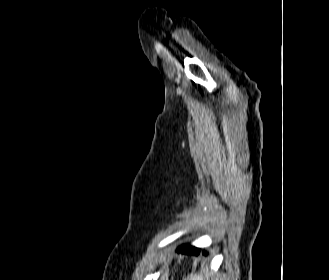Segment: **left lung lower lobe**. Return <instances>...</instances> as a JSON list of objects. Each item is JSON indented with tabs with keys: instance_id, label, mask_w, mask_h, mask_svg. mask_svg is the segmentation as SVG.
I'll use <instances>...</instances> for the list:
<instances>
[{
	"instance_id": "obj_1",
	"label": "left lung lower lobe",
	"mask_w": 329,
	"mask_h": 280,
	"mask_svg": "<svg viewBox=\"0 0 329 280\" xmlns=\"http://www.w3.org/2000/svg\"><path fill=\"white\" fill-rule=\"evenodd\" d=\"M177 252H181V253H184V254L198 255L199 252H200V249L189 246V245H185V246H181L180 248H178ZM203 254H206V253L203 252Z\"/></svg>"
}]
</instances>
